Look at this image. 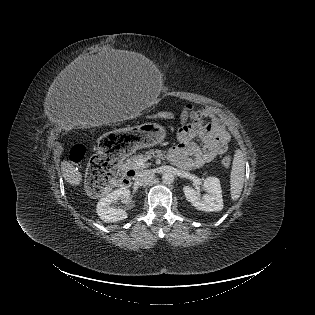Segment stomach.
<instances>
[{"instance_id":"0dacf381","label":"stomach","mask_w":315,"mask_h":315,"mask_svg":"<svg viewBox=\"0 0 315 315\" xmlns=\"http://www.w3.org/2000/svg\"><path fill=\"white\" fill-rule=\"evenodd\" d=\"M167 130L155 122L143 123L134 130L114 132L103 136L99 142L101 153L110 158H129L138 155L142 148L164 141Z\"/></svg>"}]
</instances>
